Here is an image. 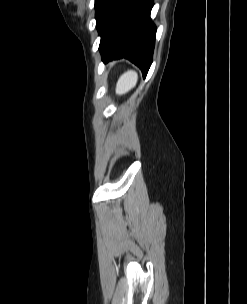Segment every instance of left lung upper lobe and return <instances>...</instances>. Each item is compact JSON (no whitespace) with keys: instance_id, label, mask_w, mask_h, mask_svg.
<instances>
[{"instance_id":"5c2ea615","label":"left lung upper lobe","mask_w":247,"mask_h":304,"mask_svg":"<svg viewBox=\"0 0 247 304\" xmlns=\"http://www.w3.org/2000/svg\"><path fill=\"white\" fill-rule=\"evenodd\" d=\"M101 0H95V9H97L99 3H100Z\"/></svg>"}]
</instances>
